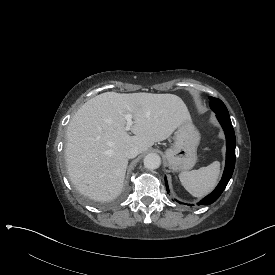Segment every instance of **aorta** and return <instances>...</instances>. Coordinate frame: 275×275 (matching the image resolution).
Masks as SVG:
<instances>
[{
	"label": "aorta",
	"mask_w": 275,
	"mask_h": 275,
	"mask_svg": "<svg viewBox=\"0 0 275 275\" xmlns=\"http://www.w3.org/2000/svg\"><path fill=\"white\" fill-rule=\"evenodd\" d=\"M161 164V158L156 153H150L144 158V166L148 169H157Z\"/></svg>",
	"instance_id": "762f6f07"
}]
</instances>
